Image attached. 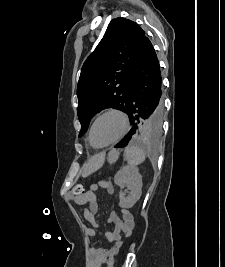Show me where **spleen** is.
Here are the masks:
<instances>
[{
  "label": "spleen",
  "mask_w": 225,
  "mask_h": 267,
  "mask_svg": "<svg viewBox=\"0 0 225 267\" xmlns=\"http://www.w3.org/2000/svg\"><path fill=\"white\" fill-rule=\"evenodd\" d=\"M125 158L131 167H136L137 165L144 162L146 153L144 150L137 146H128L125 149Z\"/></svg>",
  "instance_id": "spleen-1"
}]
</instances>
